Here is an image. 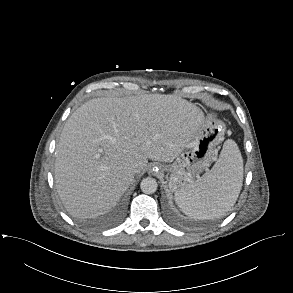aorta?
I'll return each instance as SVG.
<instances>
[{
  "mask_svg": "<svg viewBox=\"0 0 293 293\" xmlns=\"http://www.w3.org/2000/svg\"><path fill=\"white\" fill-rule=\"evenodd\" d=\"M157 181L154 178L146 177L141 181L140 188L145 194H153L157 191Z\"/></svg>",
  "mask_w": 293,
  "mask_h": 293,
  "instance_id": "obj_1",
  "label": "aorta"
}]
</instances>
